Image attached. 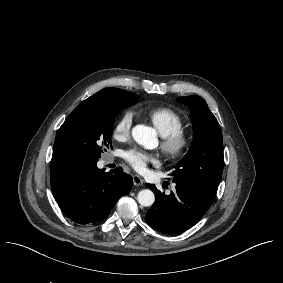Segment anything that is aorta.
<instances>
[{
    "instance_id": "762f6f07",
    "label": "aorta",
    "mask_w": 283,
    "mask_h": 283,
    "mask_svg": "<svg viewBox=\"0 0 283 283\" xmlns=\"http://www.w3.org/2000/svg\"><path fill=\"white\" fill-rule=\"evenodd\" d=\"M132 137L138 144L148 149H153L158 144L156 130L145 125H136L132 129ZM137 200L140 205L148 207L155 202V195L151 190L143 189L138 193Z\"/></svg>"
}]
</instances>
